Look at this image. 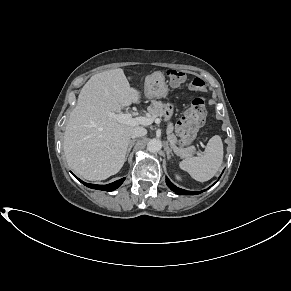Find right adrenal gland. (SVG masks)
Wrapping results in <instances>:
<instances>
[{
    "label": "right adrenal gland",
    "instance_id": "right-adrenal-gland-1",
    "mask_svg": "<svg viewBox=\"0 0 291 291\" xmlns=\"http://www.w3.org/2000/svg\"><path fill=\"white\" fill-rule=\"evenodd\" d=\"M135 141H136V140H130V142H129V146H128V149H127V154H126L125 161L127 160V157H128V155H129V153H130V151H131V149H132V147H133Z\"/></svg>",
    "mask_w": 291,
    "mask_h": 291
}]
</instances>
